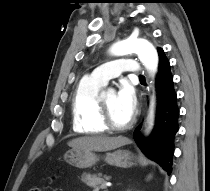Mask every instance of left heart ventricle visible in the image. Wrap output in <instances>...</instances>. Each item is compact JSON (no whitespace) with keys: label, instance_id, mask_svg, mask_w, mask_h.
I'll list each match as a JSON object with an SVG mask.
<instances>
[{"label":"left heart ventricle","instance_id":"1","mask_svg":"<svg viewBox=\"0 0 210 191\" xmlns=\"http://www.w3.org/2000/svg\"><path fill=\"white\" fill-rule=\"evenodd\" d=\"M104 102L108 108L112 121L116 125L126 124L131 117L128 116L118 105L115 94L108 95L104 98Z\"/></svg>","mask_w":210,"mask_h":191}]
</instances>
